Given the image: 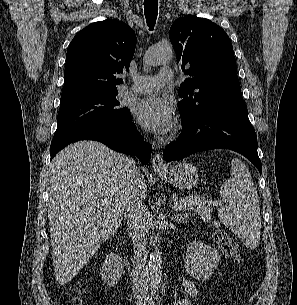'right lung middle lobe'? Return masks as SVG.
<instances>
[{
    "mask_svg": "<svg viewBox=\"0 0 297 305\" xmlns=\"http://www.w3.org/2000/svg\"><path fill=\"white\" fill-rule=\"evenodd\" d=\"M118 91L93 92L61 100L57 129L52 141L80 126L100 121H123L130 112L121 107Z\"/></svg>",
    "mask_w": 297,
    "mask_h": 305,
    "instance_id": "1",
    "label": "right lung middle lobe"
}]
</instances>
